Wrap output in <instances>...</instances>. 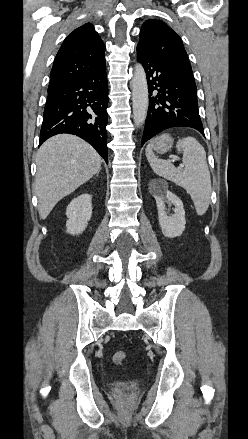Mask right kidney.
Here are the masks:
<instances>
[{"label":"right kidney","instance_id":"1","mask_svg":"<svg viewBox=\"0 0 248 439\" xmlns=\"http://www.w3.org/2000/svg\"><path fill=\"white\" fill-rule=\"evenodd\" d=\"M92 215V196L88 193L74 198L66 209V232L79 235L87 228Z\"/></svg>","mask_w":248,"mask_h":439}]
</instances>
